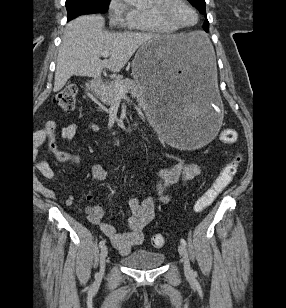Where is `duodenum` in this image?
I'll return each mask as SVG.
<instances>
[{
	"instance_id": "1",
	"label": "duodenum",
	"mask_w": 286,
	"mask_h": 308,
	"mask_svg": "<svg viewBox=\"0 0 286 308\" xmlns=\"http://www.w3.org/2000/svg\"><path fill=\"white\" fill-rule=\"evenodd\" d=\"M101 85H102L101 80H100V79H96V80L93 82V84H92V86H91V89H92L93 91H97V90L100 89ZM139 126H140V123H138V122H129V123H127V124L123 127V130L136 129V128H138Z\"/></svg>"
}]
</instances>
